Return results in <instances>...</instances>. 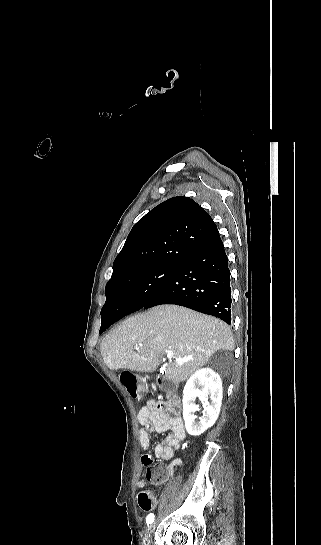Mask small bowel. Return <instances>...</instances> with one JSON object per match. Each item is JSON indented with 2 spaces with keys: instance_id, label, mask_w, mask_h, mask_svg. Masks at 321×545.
<instances>
[{
  "instance_id": "obj_1",
  "label": "small bowel",
  "mask_w": 321,
  "mask_h": 545,
  "mask_svg": "<svg viewBox=\"0 0 321 545\" xmlns=\"http://www.w3.org/2000/svg\"><path fill=\"white\" fill-rule=\"evenodd\" d=\"M137 420L141 426L139 444L143 451H147L149 448L150 433H166L165 438L154 449L155 456L162 462L152 465L149 455L146 454L142 457V463L148 467V470L146 477L137 481V486L144 488L148 483L159 484L167 481L174 475L175 468L182 465L181 459L172 458L174 452L185 439L186 431L174 400L169 402L148 400L139 410ZM169 460H171L169 464L163 463ZM158 472H161L159 477H157Z\"/></svg>"
}]
</instances>
